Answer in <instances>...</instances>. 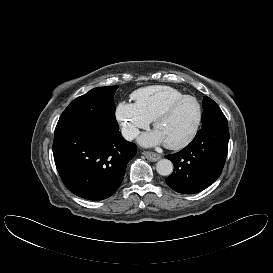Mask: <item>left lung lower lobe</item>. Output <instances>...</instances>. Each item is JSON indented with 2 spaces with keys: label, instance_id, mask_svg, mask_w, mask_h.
Returning <instances> with one entry per match:
<instances>
[{
  "label": "left lung lower lobe",
  "instance_id": "obj_1",
  "mask_svg": "<svg viewBox=\"0 0 273 273\" xmlns=\"http://www.w3.org/2000/svg\"><path fill=\"white\" fill-rule=\"evenodd\" d=\"M228 141V125L199 130L187 147L165 156L174 164V171L166 178V183L173 190L184 194L206 189L222 172Z\"/></svg>",
  "mask_w": 273,
  "mask_h": 273
}]
</instances>
